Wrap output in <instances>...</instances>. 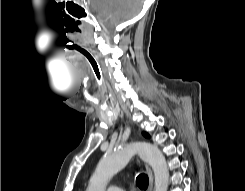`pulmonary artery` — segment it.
<instances>
[{"label":"pulmonary artery","instance_id":"e3ab8cb5","mask_svg":"<svg viewBox=\"0 0 245 191\" xmlns=\"http://www.w3.org/2000/svg\"><path fill=\"white\" fill-rule=\"evenodd\" d=\"M107 191H124L122 188L116 186V185H110L108 188H107Z\"/></svg>","mask_w":245,"mask_h":191}]
</instances>
